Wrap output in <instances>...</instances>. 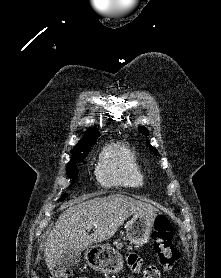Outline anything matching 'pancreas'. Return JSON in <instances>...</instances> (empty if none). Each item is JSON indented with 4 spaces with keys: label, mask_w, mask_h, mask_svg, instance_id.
Returning <instances> with one entry per match:
<instances>
[{
    "label": "pancreas",
    "mask_w": 221,
    "mask_h": 278,
    "mask_svg": "<svg viewBox=\"0 0 221 278\" xmlns=\"http://www.w3.org/2000/svg\"><path fill=\"white\" fill-rule=\"evenodd\" d=\"M114 244L116 245L117 248H122L123 247V243L120 242V240L115 241Z\"/></svg>",
    "instance_id": "obj_1"
}]
</instances>
